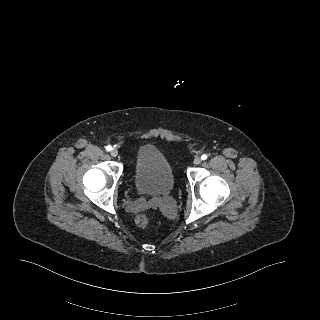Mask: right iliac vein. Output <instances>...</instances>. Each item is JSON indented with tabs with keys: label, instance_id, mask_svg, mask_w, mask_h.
Returning a JSON list of instances; mask_svg holds the SVG:
<instances>
[{
	"label": "right iliac vein",
	"instance_id": "63e3f726",
	"mask_svg": "<svg viewBox=\"0 0 320 320\" xmlns=\"http://www.w3.org/2000/svg\"><path fill=\"white\" fill-rule=\"evenodd\" d=\"M118 155V151L116 150V149H113L112 151H111V156L112 157H116Z\"/></svg>",
	"mask_w": 320,
	"mask_h": 320
}]
</instances>
